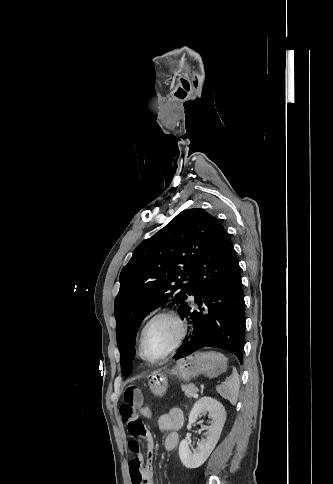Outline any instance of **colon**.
I'll return each instance as SVG.
<instances>
[{"label": "colon", "instance_id": "5ec220e1", "mask_svg": "<svg viewBox=\"0 0 333 484\" xmlns=\"http://www.w3.org/2000/svg\"><path fill=\"white\" fill-rule=\"evenodd\" d=\"M140 414L145 420H150L153 416L152 409L148 406L141 407Z\"/></svg>", "mask_w": 333, "mask_h": 484}]
</instances>
